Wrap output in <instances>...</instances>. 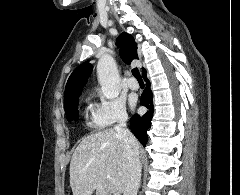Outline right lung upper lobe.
I'll return each instance as SVG.
<instances>
[{"mask_svg": "<svg viewBox=\"0 0 240 195\" xmlns=\"http://www.w3.org/2000/svg\"><path fill=\"white\" fill-rule=\"evenodd\" d=\"M117 45L120 47L119 53L124 62L130 63L132 60L138 59L137 44L130 34L125 32L121 34L117 39ZM142 70L145 79L146 71L144 68ZM91 72L92 64L86 61L78 66L70 75L64 94L65 106H68L71 102L79 98L82 88L86 84Z\"/></svg>", "mask_w": 240, "mask_h": 195, "instance_id": "cb5924a9", "label": "right lung upper lobe"}]
</instances>
